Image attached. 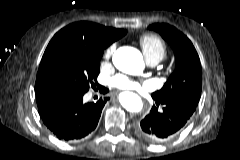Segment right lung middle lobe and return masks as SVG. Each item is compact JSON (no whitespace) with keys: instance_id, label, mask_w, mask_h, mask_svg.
<instances>
[{"instance_id":"1","label":"right lung middle lobe","mask_w":240,"mask_h":160,"mask_svg":"<svg viewBox=\"0 0 240 160\" xmlns=\"http://www.w3.org/2000/svg\"><path fill=\"white\" fill-rule=\"evenodd\" d=\"M102 54L103 50L86 47L65 34L59 36L42 57L36 78V96L84 95L90 87L98 85Z\"/></svg>"}]
</instances>
